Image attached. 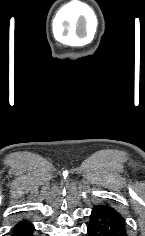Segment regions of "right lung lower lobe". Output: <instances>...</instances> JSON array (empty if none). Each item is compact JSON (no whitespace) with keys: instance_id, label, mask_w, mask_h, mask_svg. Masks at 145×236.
Segmentation results:
<instances>
[{"instance_id":"1","label":"right lung lower lobe","mask_w":145,"mask_h":236,"mask_svg":"<svg viewBox=\"0 0 145 236\" xmlns=\"http://www.w3.org/2000/svg\"><path fill=\"white\" fill-rule=\"evenodd\" d=\"M34 226L26 219L19 221L12 229V236H33Z\"/></svg>"}]
</instances>
